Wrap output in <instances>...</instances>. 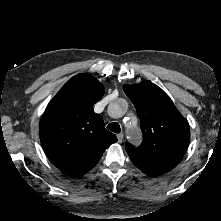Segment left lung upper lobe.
<instances>
[{
	"instance_id": "left-lung-upper-lobe-1",
	"label": "left lung upper lobe",
	"mask_w": 221,
	"mask_h": 221,
	"mask_svg": "<svg viewBox=\"0 0 221 221\" xmlns=\"http://www.w3.org/2000/svg\"><path fill=\"white\" fill-rule=\"evenodd\" d=\"M123 88L137 110L143 133L140 147L126 144L131 161L148 176L169 172L187 150L190 140L188 121L170 97L152 82L145 80Z\"/></svg>"
}]
</instances>
